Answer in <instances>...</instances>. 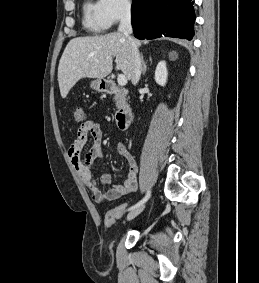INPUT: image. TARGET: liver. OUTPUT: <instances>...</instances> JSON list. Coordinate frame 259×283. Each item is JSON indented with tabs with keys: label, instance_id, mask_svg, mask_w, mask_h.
Here are the masks:
<instances>
[{
	"label": "liver",
	"instance_id": "liver-1",
	"mask_svg": "<svg viewBox=\"0 0 259 283\" xmlns=\"http://www.w3.org/2000/svg\"><path fill=\"white\" fill-rule=\"evenodd\" d=\"M137 47L141 41L133 38ZM116 58V70L131 79L130 45L120 32L101 36L77 37L67 44L58 66V82L62 98L82 78L104 79L112 69Z\"/></svg>",
	"mask_w": 259,
	"mask_h": 283
}]
</instances>
